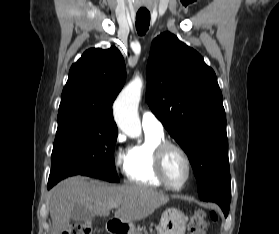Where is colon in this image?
<instances>
[{"instance_id":"colon-1","label":"colon","mask_w":279,"mask_h":234,"mask_svg":"<svg viewBox=\"0 0 279 234\" xmlns=\"http://www.w3.org/2000/svg\"><path fill=\"white\" fill-rule=\"evenodd\" d=\"M210 219L216 220L217 214L211 213L209 216L203 210L195 211L189 220V234H205V230L210 224ZM62 234H91V225L88 222H77L68 225Z\"/></svg>"}]
</instances>
